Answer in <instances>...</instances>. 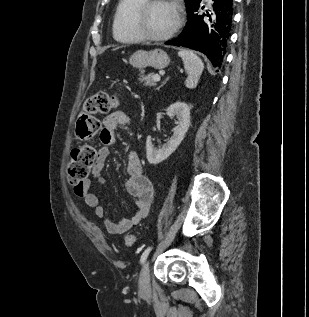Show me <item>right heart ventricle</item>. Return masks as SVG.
<instances>
[{"label":"right heart ventricle","instance_id":"e07e8e85","mask_svg":"<svg viewBox=\"0 0 309 317\" xmlns=\"http://www.w3.org/2000/svg\"><path fill=\"white\" fill-rule=\"evenodd\" d=\"M144 0H120L112 22V33L115 40L121 43H135L140 37L132 28V17L137 7Z\"/></svg>","mask_w":309,"mask_h":317}]
</instances>
